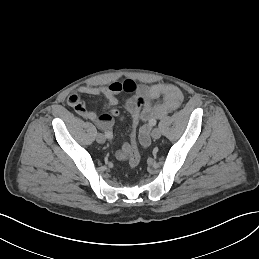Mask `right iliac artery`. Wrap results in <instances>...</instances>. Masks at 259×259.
I'll return each mask as SVG.
<instances>
[{
  "instance_id": "1",
  "label": "right iliac artery",
  "mask_w": 259,
  "mask_h": 259,
  "mask_svg": "<svg viewBox=\"0 0 259 259\" xmlns=\"http://www.w3.org/2000/svg\"><path fill=\"white\" fill-rule=\"evenodd\" d=\"M105 137H106L107 139H112V138H113V134H112L111 132H109V131H106V132H105Z\"/></svg>"
}]
</instances>
